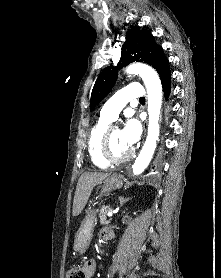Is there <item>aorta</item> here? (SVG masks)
I'll return each mask as SVG.
<instances>
[{
	"instance_id": "762f6f07",
	"label": "aorta",
	"mask_w": 221,
	"mask_h": 278,
	"mask_svg": "<svg viewBox=\"0 0 221 278\" xmlns=\"http://www.w3.org/2000/svg\"><path fill=\"white\" fill-rule=\"evenodd\" d=\"M127 74L140 75L148 93L149 124L146 141L136 158L132 170L134 175L141 174L149 165L156 149L160 127L159 117L162 104V87L157 72L147 64L133 63L126 68Z\"/></svg>"
}]
</instances>
